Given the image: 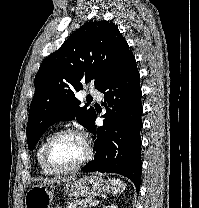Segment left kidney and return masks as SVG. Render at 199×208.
<instances>
[{"instance_id": "5707ae66", "label": "left kidney", "mask_w": 199, "mask_h": 208, "mask_svg": "<svg viewBox=\"0 0 199 208\" xmlns=\"http://www.w3.org/2000/svg\"><path fill=\"white\" fill-rule=\"evenodd\" d=\"M104 208H117V207L115 205H108V206H106Z\"/></svg>"}]
</instances>
